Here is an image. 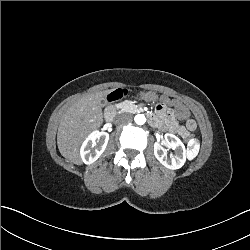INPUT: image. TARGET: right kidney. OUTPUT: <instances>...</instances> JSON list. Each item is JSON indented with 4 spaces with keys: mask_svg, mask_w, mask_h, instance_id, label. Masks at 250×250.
Instances as JSON below:
<instances>
[{
    "mask_svg": "<svg viewBox=\"0 0 250 250\" xmlns=\"http://www.w3.org/2000/svg\"><path fill=\"white\" fill-rule=\"evenodd\" d=\"M109 140L107 132L94 130L83 140L80 146V158L84 164H91L103 153ZM91 145L94 150L91 151Z\"/></svg>",
    "mask_w": 250,
    "mask_h": 250,
    "instance_id": "ca27d5eb",
    "label": "right kidney"
}]
</instances>
